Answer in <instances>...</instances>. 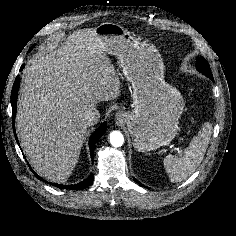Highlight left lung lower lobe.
<instances>
[{
  "label": "left lung lower lobe",
  "instance_id": "0a47b994",
  "mask_svg": "<svg viewBox=\"0 0 236 236\" xmlns=\"http://www.w3.org/2000/svg\"><path fill=\"white\" fill-rule=\"evenodd\" d=\"M211 80H213V77L212 76H210L209 77ZM138 182V181H137ZM141 186H143L140 182H138Z\"/></svg>",
  "mask_w": 236,
  "mask_h": 236
}]
</instances>
